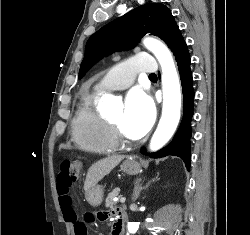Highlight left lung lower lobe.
Listing matches in <instances>:
<instances>
[{
  "mask_svg": "<svg viewBox=\"0 0 250 235\" xmlns=\"http://www.w3.org/2000/svg\"><path fill=\"white\" fill-rule=\"evenodd\" d=\"M171 51L176 58L183 91V119L180 127L172 142L162 150L152 153L151 158H160L168 155L181 157L189 170L190 167V138H191V119L193 116L194 90L192 85V73L190 70V56L187 45L179 32L171 46ZM144 153V149L142 150Z\"/></svg>",
  "mask_w": 250,
  "mask_h": 235,
  "instance_id": "1",
  "label": "left lung lower lobe"
}]
</instances>
